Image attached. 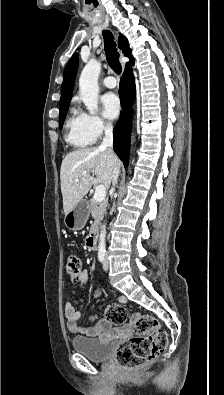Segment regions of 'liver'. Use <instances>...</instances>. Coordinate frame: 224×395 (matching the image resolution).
Masks as SVG:
<instances>
[{
	"instance_id": "6515ba94",
	"label": "liver",
	"mask_w": 224,
	"mask_h": 395,
	"mask_svg": "<svg viewBox=\"0 0 224 395\" xmlns=\"http://www.w3.org/2000/svg\"><path fill=\"white\" fill-rule=\"evenodd\" d=\"M119 165L120 161L113 152L100 147L82 148L68 153L60 170L64 213L71 211L92 185L102 184L108 188L113 180V169ZM83 172L87 174L82 175ZM91 173H95V177Z\"/></svg>"
}]
</instances>
